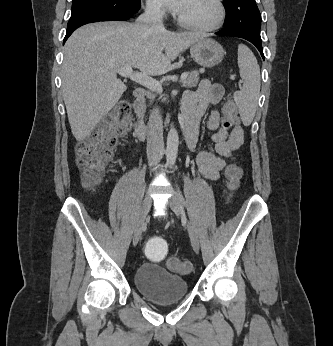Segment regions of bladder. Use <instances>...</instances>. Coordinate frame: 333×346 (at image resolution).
I'll return each instance as SVG.
<instances>
[{
    "label": "bladder",
    "mask_w": 333,
    "mask_h": 346,
    "mask_svg": "<svg viewBox=\"0 0 333 346\" xmlns=\"http://www.w3.org/2000/svg\"><path fill=\"white\" fill-rule=\"evenodd\" d=\"M136 289L148 300L172 303L184 298L188 292V282L181 276L152 263H144L134 274Z\"/></svg>",
    "instance_id": "bladder-1"
}]
</instances>
